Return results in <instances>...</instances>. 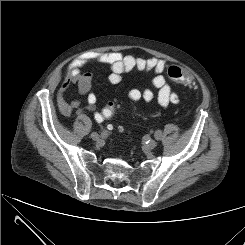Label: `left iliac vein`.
Returning <instances> with one entry per match:
<instances>
[{
  "label": "left iliac vein",
  "mask_w": 245,
  "mask_h": 245,
  "mask_svg": "<svg viewBox=\"0 0 245 245\" xmlns=\"http://www.w3.org/2000/svg\"><path fill=\"white\" fill-rule=\"evenodd\" d=\"M157 146V142L153 139H151L148 143V148L149 149H154Z\"/></svg>",
  "instance_id": "obj_1"
}]
</instances>
